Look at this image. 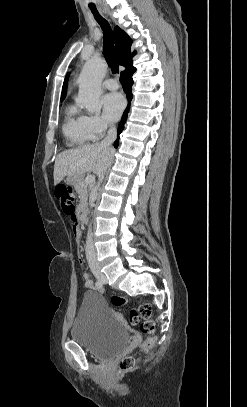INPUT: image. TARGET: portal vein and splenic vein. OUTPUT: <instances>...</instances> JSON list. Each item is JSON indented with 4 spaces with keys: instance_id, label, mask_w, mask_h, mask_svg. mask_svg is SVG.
Instances as JSON below:
<instances>
[{
    "instance_id": "obj_1",
    "label": "portal vein and splenic vein",
    "mask_w": 247,
    "mask_h": 407,
    "mask_svg": "<svg viewBox=\"0 0 247 407\" xmlns=\"http://www.w3.org/2000/svg\"><path fill=\"white\" fill-rule=\"evenodd\" d=\"M87 183H93L95 181V176L94 175H88L85 179Z\"/></svg>"
}]
</instances>
